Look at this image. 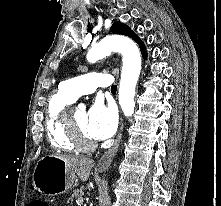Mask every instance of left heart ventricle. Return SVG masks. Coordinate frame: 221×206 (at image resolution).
<instances>
[{"label": "left heart ventricle", "mask_w": 221, "mask_h": 206, "mask_svg": "<svg viewBox=\"0 0 221 206\" xmlns=\"http://www.w3.org/2000/svg\"><path fill=\"white\" fill-rule=\"evenodd\" d=\"M72 116L74 117L75 122L78 125L79 129L82 131V133L86 137L91 138L86 129L87 113L84 110L77 109L72 113Z\"/></svg>", "instance_id": "obj_1"}]
</instances>
